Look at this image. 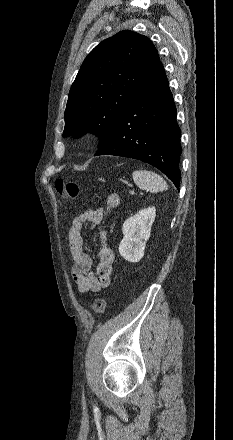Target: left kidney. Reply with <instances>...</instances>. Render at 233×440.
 <instances>
[{"mask_svg":"<svg viewBox=\"0 0 233 440\" xmlns=\"http://www.w3.org/2000/svg\"><path fill=\"white\" fill-rule=\"evenodd\" d=\"M155 216V207H149L140 210L123 223L124 237L119 245V253L125 260L136 263L144 256L146 242L150 237Z\"/></svg>","mask_w":233,"mask_h":440,"instance_id":"1","label":"left kidney"}]
</instances>
